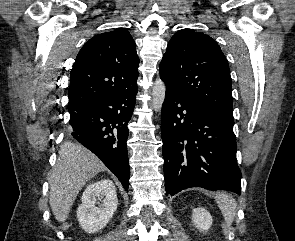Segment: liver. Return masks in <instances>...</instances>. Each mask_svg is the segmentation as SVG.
<instances>
[{
    "label": "liver",
    "instance_id": "1",
    "mask_svg": "<svg viewBox=\"0 0 295 241\" xmlns=\"http://www.w3.org/2000/svg\"><path fill=\"white\" fill-rule=\"evenodd\" d=\"M105 169L101 160L85 147L72 142L61 146L50 176L49 203L57 221H66L79 191Z\"/></svg>",
    "mask_w": 295,
    "mask_h": 241
}]
</instances>
